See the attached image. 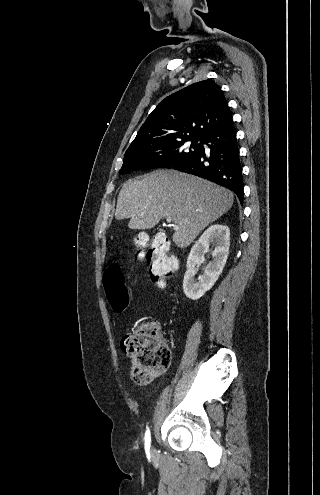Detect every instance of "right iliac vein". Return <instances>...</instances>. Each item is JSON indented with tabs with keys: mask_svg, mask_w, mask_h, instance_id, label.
<instances>
[{
	"mask_svg": "<svg viewBox=\"0 0 320 495\" xmlns=\"http://www.w3.org/2000/svg\"><path fill=\"white\" fill-rule=\"evenodd\" d=\"M154 451H155L154 449L151 450V452H154Z\"/></svg>",
	"mask_w": 320,
	"mask_h": 495,
	"instance_id": "63e3f726",
	"label": "right iliac vein"
}]
</instances>
